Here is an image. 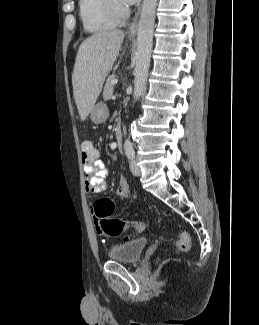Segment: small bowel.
Instances as JSON below:
<instances>
[{"label": "small bowel", "instance_id": "small-bowel-1", "mask_svg": "<svg viewBox=\"0 0 259 325\" xmlns=\"http://www.w3.org/2000/svg\"><path fill=\"white\" fill-rule=\"evenodd\" d=\"M83 171L85 176V189L87 193L92 195H98L106 190L108 176V170L104 162L99 158V153L95 160L90 163L83 162ZM116 195L121 198H127L129 196V186L125 177H120ZM96 229L99 233L102 231L99 228V224L94 216Z\"/></svg>", "mask_w": 259, "mask_h": 325}]
</instances>
